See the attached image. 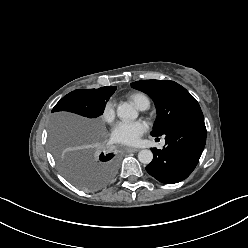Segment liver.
I'll return each instance as SVG.
<instances>
[{
    "label": "liver",
    "instance_id": "1",
    "mask_svg": "<svg viewBox=\"0 0 248 248\" xmlns=\"http://www.w3.org/2000/svg\"><path fill=\"white\" fill-rule=\"evenodd\" d=\"M55 124L58 131L64 132L61 135L62 137L67 136L69 133L92 136L95 129L93 124L72 116H58Z\"/></svg>",
    "mask_w": 248,
    "mask_h": 248
}]
</instances>
